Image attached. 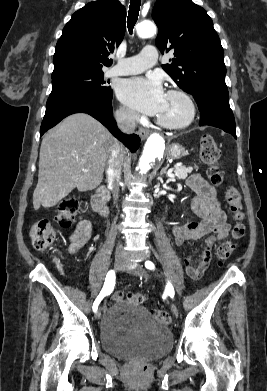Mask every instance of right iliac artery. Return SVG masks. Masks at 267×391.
Wrapping results in <instances>:
<instances>
[{"instance_id":"obj_1","label":"right iliac artery","mask_w":267,"mask_h":391,"mask_svg":"<svg viewBox=\"0 0 267 391\" xmlns=\"http://www.w3.org/2000/svg\"><path fill=\"white\" fill-rule=\"evenodd\" d=\"M115 285V273L114 271H109L106 275L104 286L96 298V300L93 303V311L96 312L98 305L100 304L101 300L108 294H110L114 288Z\"/></svg>"}]
</instances>
